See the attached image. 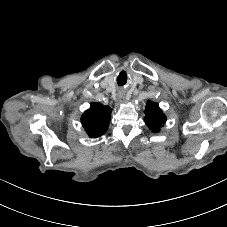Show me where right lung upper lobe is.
<instances>
[{
  "mask_svg": "<svg viewBox=\"0 0 227 227\" xmlns=\"http://www.w3.org/2000/svg\"><path fill=\"white\" fill-rule=\"evenodd\" d=\"M112 109L100 103H91L90 108L81 117V123L91 138L104 134L108 128Z\"/></svg>",
  "mask_w": 227,
  "mask_h": 227,
  "instance_id": "obj_1",
  "label": "right lung upper lobe"
}]
</instances>
